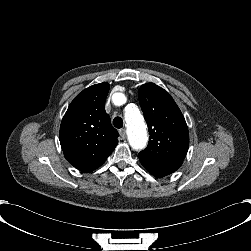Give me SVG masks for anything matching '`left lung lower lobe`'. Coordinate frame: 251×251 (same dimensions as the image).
<instances>
[{"mask_svg":"<svg viewBox=\"0 0 251 251\" xmlns=\"http://www.w3.org/2000/svg\"><path fill=\"white\" fill-rule=\"evenodd\" d=\"M141 164L143 165V167H145V169L151 173L153 176L157 177V178H161V177H164L166 175H169L171 174L172 172L170 171H167V170H164V169H160V168H157L156 166L152 165V164H149L145 161H140Z\"/></svg>","mask_w":251,"mask_h":251,"instance_id":"obj_1","label":"left lung lower lobe"}]
</instances>
